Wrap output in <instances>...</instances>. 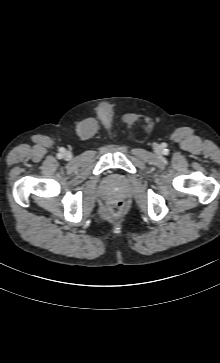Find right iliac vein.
Instances as JSON below:
<instances>
[{
  "label": "right iliac vein",
  "instance_id": "obj_1",
  "mask_svg": "<svg viewBox=\"0 0 220 363\" xmlns=\"http://www.w3.org/2000/svg\"><path fill=\"white\" fill-rule=\"evenodd\" d=\"M63 157L65 160H70L72 158V153L70 151H64Z\"/></svg>",
  "mask_w": 220,
  "mask_h": 363
}]
</instances>
